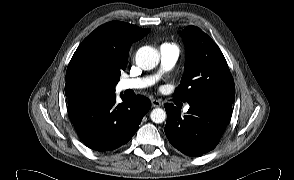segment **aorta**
<instances>
[{
  "label": "aorta",
  "instance_id": "obj_1",
  "mask_svg": "<svg viewBox=\"0 0 294 180\" xmlns=\"http://www.w3.org/2000/svg\"><path fill=\"white\" fill-rule=\"evenodd\" d=\"M159 63V55L155 48L150 46L141 47L136 53V64L143 70H151ZM154 123H163L166 119V112L161 108H155L150 113Z\"/></svg>",
  "mask_w": 294,
  "mask_h": 180
}]
</instances>
